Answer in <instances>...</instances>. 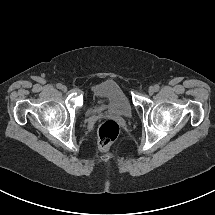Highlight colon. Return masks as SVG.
<instances>
[{"label":"colon","mask_w":215,"mask_h":215,"mask_svg":"<svg viewBox=\"0 0 215 215\" xmlns=\"http://www.w3.org/2000/svg\"><path fill=\"white\" fill-rule=\"evenodd\" d=\"M120 127L114 120H105L98 127V146L106 150L118 137Z\"/></svg>","instance_id":"5ec220e1"}]
</instances>
